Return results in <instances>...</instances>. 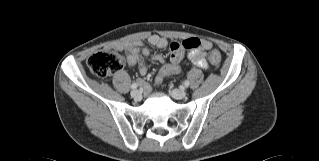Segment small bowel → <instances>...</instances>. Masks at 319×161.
Masks as SVG:
<instances>
[{
  "mask_svg": "<svg viewBox=\"0 0 319 161\" xmlns=\"http://www.w3.org/2000/svg\"><path fill=\"white\" fill-rule=\"evenodd\" d=\"M148 44L158 49H165L167 47V41L159 35H152L148 39ZM211 43L207 40H203L201 48L191 51L187 54V59L196 67L205 68L208 66L205 58L204 49H209ZM116 51H123L127 54L126 60L130 67H138L139 73L142 76L148 74V68L144 62L143 56H149L150 51L148 45L142 42H123L115 44L113 47ZM155 60L163 64L160 75L156 79V83H160L163 75L177 74L180 72L179 64L166 63L164 57L160 54H155L152 57ZM143 85V82H140Z\"/></svg>",
  "mask_w": 319,
  "mask_h": 161,
  "instance_id": "c3829d8e",
  "label": "small bowel"
}]
</instances>
